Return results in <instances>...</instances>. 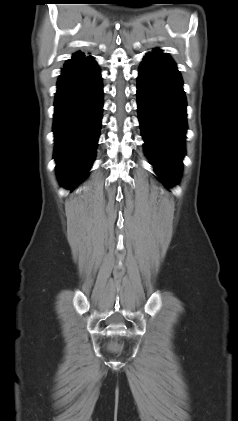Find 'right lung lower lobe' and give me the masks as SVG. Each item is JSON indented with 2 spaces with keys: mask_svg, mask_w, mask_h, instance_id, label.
Masks as SVG:
<instances>
[{
  "mask_svg": "<svg viewBox=\"0 0 238 421\" xmlns=\"http://www.w3.org/2000/svg\"><path fill=\"white\" fill-rule=\"evenodd\" d=\"M53 131L54 158L62 186L82 182L94 161L101 127L103 87L92 57L77 52L63 66L57 83Z\"/></svg>",
  "mask_w": 238,
  "mask_h": 421,
  "instance_id": "98d812e1",
  "label": "right lung lower lobe"
}]
</instances>
